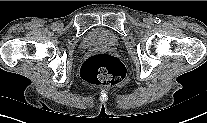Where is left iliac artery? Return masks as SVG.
<instances>
[{
    "instance_id": "left-iliac-artery-1",
    "label": "left iliac artery",
    "mask_w": 207,
    "mask_h": 123,
    "mask_svg": "<svg viewBox=\"0 0 207 123\" xmlns=\"http://www.w3.org/2000/svg\"><path fill=\"white\" fill-rule=\"evenodd\" d=\"M154 20H155V23H157V24H160V23H161L160 18H157V17H156Z\"/></svg>"
}]
</instances>
